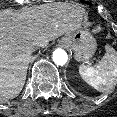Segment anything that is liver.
<instances>
[{
  "mask_svg": "<svg viewBox=\"0 0 117 117\" xmlns=\"http://www.w3.org/2000/svg\"><path fill=\"white\" fill-rule=\"evenodd\" d=\"M85 16L81 6L65 2L0 11V103L21 92L32 51L75 32Z\"/></svg>",
  "mask_w": 117,
  "mask_h": 117,
  "instance_id": "liver-1",
  "label": "liver"
}]
</instances>
